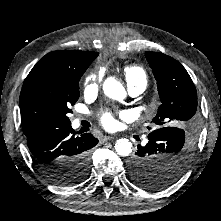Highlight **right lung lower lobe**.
I'll return each mask as SVG.
<instances>
[{
	"label": "right lung lower lobe",
	"mask_w": 221,
	"mask_h": 221,
	"mask_svg": "<svg viewBox=\"0 0 221 221\" xmlns=\"http://www.w3.org/2000/svg\"><path fill=\"white\" fill-rule=\"evenodd\" d=\"M73 132L70 123L45 125L26 134L34 163L48 179L59 180L60 185L80 182L72 174H65V165L81 156L90 164V149L98 143L90 133L75 137Z\"/></svg>",
	"instance_id": "1"
}]
</instances>
